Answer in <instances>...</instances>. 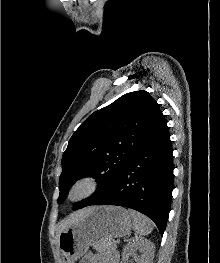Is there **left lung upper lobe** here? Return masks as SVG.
Listing matches in <instances>:
<instances>
[{
	"label": "left lung upper lobe",
	"instance_id": "left-lung-upper-lobe-1",
	"mask_svg": "<svg viewBox=\"0 0 220 263\" xmlns=\"http://www.w3.org/2000/svg\"><path fill=\"white\" fill-rule=\"evenodd\" d=\"M164 122L159 105L146 91L127 93L90 115L63 154L58 203L65 199L71 182L90 176L99 187L75 209L89 205L113 184L134 152Z\"/></svg>",
	"mask_w": 220,
	"mask_h": 263
}]
</instances>
